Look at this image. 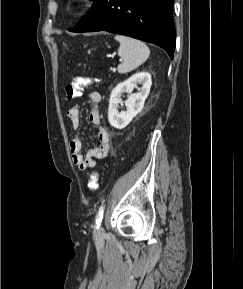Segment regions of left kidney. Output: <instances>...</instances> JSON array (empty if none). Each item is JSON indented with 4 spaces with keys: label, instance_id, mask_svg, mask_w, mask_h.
Returning <instances> with one entry per match:
<instances>
[{
    "label": "left kidney",
    "instance_id": "5707ae66",
    "mask_svg": "<svg viewBox=\"0 0 243 289\" xmlns=\"http://www.w3.org/2000/svg\"><path fill=\"white\" fill-rule=\"evenodd\" d=\"M137 84H142L138 93L132 91ZM152 85L151 75L149 73L140 72L131 76L126 81L119 83L111 92L108 108V121L111 126L117 129L125 128L132 119L142 111L146 98L149 95ZM129 94L128 99L123 102L121 100L122 93ZM125 103L126 111L118 112L119 104Z\"/></svg>",
    "mask_w": 243,
    "mask_h": 289
}]
</instances>
